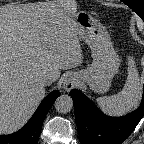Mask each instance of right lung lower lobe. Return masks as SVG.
Instances as JSON below:
<instances>
[{
	"instance_id": "1",
	"label": "right lung lower lobe",
	"mask_w": 144,
	"mask_h": 144,
	"mask_svg": "<svg viewBox=\"0 0 144 144\" xmlns=\"http://www.w3.org/2000/svg\"><path fill=\"white\" fill-rule=\"evenodd\" d=\"M59 95V91L50 93L22 129L10 135H0V144H37L45 116Z\"/></svg>"
}]
</instances>
